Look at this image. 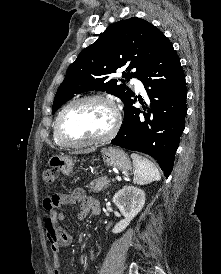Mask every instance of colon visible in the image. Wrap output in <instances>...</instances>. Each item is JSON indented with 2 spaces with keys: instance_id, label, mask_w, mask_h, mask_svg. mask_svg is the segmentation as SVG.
<instances>
[{
  "instance_id": "5ec220e1",
  "label": "colon",
  "mask_w": 221,
  "mask_h": 274,
  "mask_svg": "<svg viewBox=\"0 0 221 274\" xmlns=\"http://www.w3.org/2000/svg\"><path fill=\"white\" fill-rule=\"evenodd\" d=\"M58 177L57 171L46 169L42 174V181L46 187H51Z\"/></svg>"
}]
</instances>
